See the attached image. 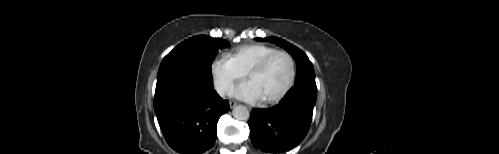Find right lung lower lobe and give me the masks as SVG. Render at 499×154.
<instances>
[{
	"instance_id": "98d812e1",
	"label": "right lung lower lobe",
	"mask_w": 499,
	"mask_h": 154,
	"mask_svg": "<svg viewBox=\"0 0 499 154\" xmlns=\"http://www.w3.org/2000/svg\"><path fill=\"white\" fill-rule=\"evenodd\" d=\"M154 110L171 148L200 154L214 145L217 122L229 110V102L220 98L213 83L182 79L156 87Z\"/></svg>"
}]
</instances>
